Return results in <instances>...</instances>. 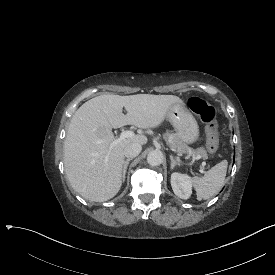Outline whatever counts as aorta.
<instances>
[{
    "mask_svg": "<svg viewBox=\"0 0 275 275\" xmlns=\"http://www.w3.org/2000/svg\"><path fill=\"white\" fill-rule=\"evenodd\" d=\"M148 163L150 165H160L163 161V153L160 150H153L148 154Z\"/></svg>",
    "mask_w": 275,
    "mask_h": 275,
    "instance_id": "obj_1",
    "label": "aorta"
}]
</instances>
